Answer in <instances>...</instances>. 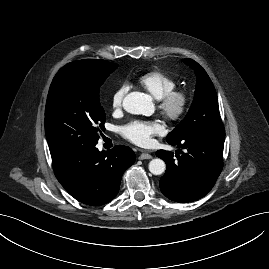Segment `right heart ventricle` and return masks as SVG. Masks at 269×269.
<instances>
[{
  "label": "right heart ventricle",
  "instance_id": "e07e8e85",
  "mask_svg": "<svg viewBox=\"0 0 269 269\" xmlns=\"http://www.w3.org/2000/svg\"><path fill=\"white\" fill-rule=\"evenodd\" d=\"M138 83L155 99H160L169 91L175 89L177 85L176 80L171 75L159 70L150 71L141 75Z\"/></svg>",
  "mask_w": 269,
  "mask_h": 269
}]
</instances>
